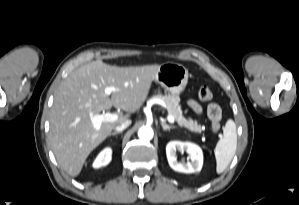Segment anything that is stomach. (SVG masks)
Listing matches in <instances>:
<instances>
[{
  "mask_svg": "<svg viewBox=\"0 0 299 205\" xmlns=\"http://www.w3.org/2000/svg\"><path fill=\"white\" fill-rule=\"evenodd\" d=\"M155 82L172 95L179 96L188 83V70L178 63H164L157 71Z\"/></svg>",
  "mask_w": 299,
  "mask_h": 205,
  "instance_id": "stomach-1",
  "label": "stomach"
}]
</instances>
